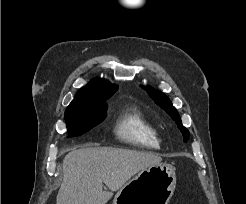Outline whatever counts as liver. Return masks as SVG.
<instances>
[{
	"label": "liver",
	"instance_id": "liver-1",
	"mask_svg": "<svg viewBox=\"0 0 246 204\" xmlns=\"http://www.w3.org/2000/svg\"><path fill=\"white\" fill-rule=\"evenodd\" d=\"M162 158L148 152L113 147L73 149L63 159V182L56 204H106L135 174ZM103 183L110 191L103 190Z\"/></svg>",
	"mask_w": 246,
	"mask_h": 204
}]
</instances>
